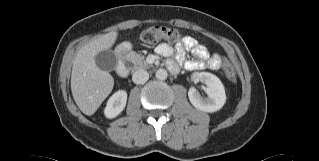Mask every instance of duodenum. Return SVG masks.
I'll use <instances>...</instances> for the list:
<instances>
[{
  "label": "duodenum",
  "instance_id": "obj_1",
  "mask_svg": "<svg viewBox=\"0 0 319 161\" xmlns=\"http://www.w3.org/2000/svg\"><path fill=\"white\" fill-rule=\"evenodd\" d=\"M131 49V45L129 44H121L118 46L115 58L117 61V74L121 78H126L128 76V68L126 66V56Z\"/></svg>",
  "mask_w": 319,
  "mask_h": 161
}]
</instances>
